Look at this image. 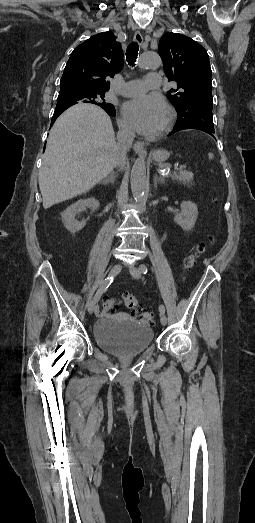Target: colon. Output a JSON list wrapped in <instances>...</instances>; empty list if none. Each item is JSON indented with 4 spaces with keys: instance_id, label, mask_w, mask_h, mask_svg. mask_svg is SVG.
<instances>
[{
    "instance_id": "obj_1",
    "label": "colon",
    "mask_w": 255,
    "mask_h": 523,
    "mask_svg": "<svg viewBox=\"0 0 255 523\" xmlns=\"http://www.w3.org/2000/svg\"><path fill=\"white\" fill-rule=\"evenodd\" d=\"M207 245L201 244L197 247V249L194 252H191L188 254L183 262V270L187 271L190 270L198 260V258L206 251ZM124 303L125 306L130 309L134 315V317L145 325H150L154 321V316L152 313L148 311H140L139 310V302L138 300L130 295L127 294L124 297ZM119 304L110 298H105L102 302V313L103 314H112L118 311Z\"/></svg>"
}]
</instances>
